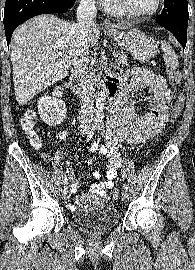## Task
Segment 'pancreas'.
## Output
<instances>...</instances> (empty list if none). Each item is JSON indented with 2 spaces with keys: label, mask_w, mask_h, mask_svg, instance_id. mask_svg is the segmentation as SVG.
I'll list each match as a JSON object with an SVG mask.
<instances>
[{
  "label": "pancreas",
  "mask_w": 195,
  "mask_h": 270,
  "mask_svg": "<svg viewBox=\"0 0 195 270\" xmlns=\"http://www.w3.org/2000/svg\"><path fill=\"white\" fill-rule=\"evenodd\" d=\"M117 64L122 65V66L128 65L127 55L124 53L119 54L117 57ZM91 69H92V72H90L89 78L91 81H95L97 80L98 77H100V75H95L96 69H93V68ZM97 70H99V67H97Z\"/></svg>",
  "instance_id": "1"
}]
</instances>
